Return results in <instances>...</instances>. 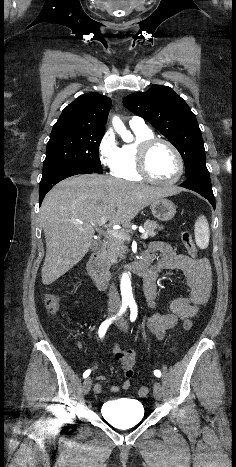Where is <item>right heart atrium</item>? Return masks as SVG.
Returning a JSON list of instances; mask_svg holds the SVG:
<instances>
[{
	"instance_id": "1",
	"label": "right heart atrium",
	"mask_w": 236,
	"mask_h": 467,
	"mask_svg": "<svg viewBox=\"0 0 236 467\" xmlns=\"http://www.w3.org/2000/svg\"><path fill=\"white\" fill-rule=\"evenodd\" d=\"M120 147L111 131L105 132L98 144V158L104 168L113 170L119 160Z\"/></svg>"
}]
</instances>
